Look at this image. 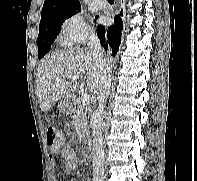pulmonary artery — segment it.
I'll use <instances>...</instances> for the list:
<instances>
[{"label":"pulmonary artery","mask_w":197,"mask_h":181,"mask_svg":"<svg viewBox=\"0 0 197 181\" xmlns=\"http://www.w3.org/2000/svg\"><path fill=\"white\" fill-rule=\"evenodd\" d=\"M93 3L99 7L103 8L106 5V0H93Z\"/></svg>","instance_id":"1"}]
</instances>
